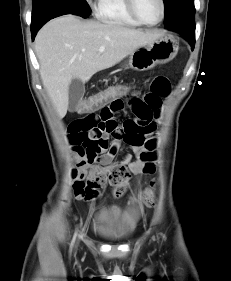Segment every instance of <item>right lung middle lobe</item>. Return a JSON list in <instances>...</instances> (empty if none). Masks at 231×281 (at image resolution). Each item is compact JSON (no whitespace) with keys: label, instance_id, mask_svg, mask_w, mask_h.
Returning <instances> with one entry per match:
<instances>
[{"label":"right lung middle lobe","instance_id":"obj_1","mask_svg":"<svg viewBox=\"0 0 231 281\" xmlns=\"http://www.w3.org/2000/svg\"><path fill=\"white\" fill-rule=\"evenodd\" d=\"M45 0H33V11L36 10ZM65 2L75 5L80 11L89 15L91 9L85 0H64Z\"/></svg>","mask_w":231,"mask_h":281}]
</instances>
